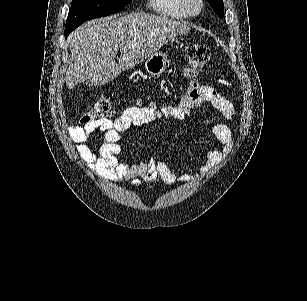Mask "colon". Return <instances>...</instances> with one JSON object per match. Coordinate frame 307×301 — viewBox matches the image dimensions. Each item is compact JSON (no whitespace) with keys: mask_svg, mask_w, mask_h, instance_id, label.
<instances>
[{"mask_svg":"<svg viewBox=\"0 0 307 301\" xmlns=\"http://www.w3.org/2000/svg\"><path fill=\"white\" fill-rule=\"evenodd\" d=\"M185 55L186 66L184 74L189 78H194L209 61L211 52L207 46L193 43L186 47ZM113 115L114 108L111 102L107 99H102L81 116L80 122L82 125H88L98 121L109 120Z\"/></svg>","mask_w":307,"mask_h":301,"instance_id":"5ec220e1","label":"colon"}]
</instances>
